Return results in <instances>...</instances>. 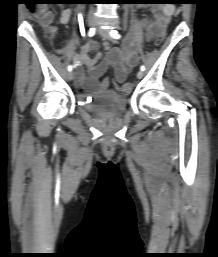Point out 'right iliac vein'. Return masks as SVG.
<instances>
[{
  "mask_svg": "<svg viewBox=\"0 0 218 257\" xmlns=\"http://www.w3.org/2000/svg\"><path fill=\"white\" fill-rule=\"evenodd\" d=\"M96 24V19L94 17H90L88 19V25L90 27H93ZM67 78L69 81H72L74 79V73L73 72H69L67 75Z\"/></svg>",
  "mask_w": 218,
  "mask_h": 257,
  "instance_id": "right-iliac-vein-1",
  "label": "right iliac vein"
}]
</instances>
